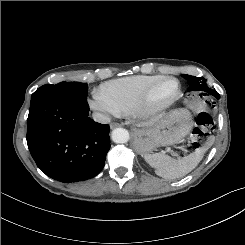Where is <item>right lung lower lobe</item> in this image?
<instances>
[{"label": "right lung lower lobe", "instance_id": "1", "mask_svg": "<svg viewBox=\"0 0 245 245\" xmlns=\"http://www.w3.org/2000/svg\"><path fill=\"white\" fill-rule=\"evenodd\" d=\"M109 125L89 117L86 100L48 97L30 105L27 144L49 177L71 183L96 176L110 148Z\"/></svg>", "mask_w": 245, "mask_h": 245}]
</instances>
